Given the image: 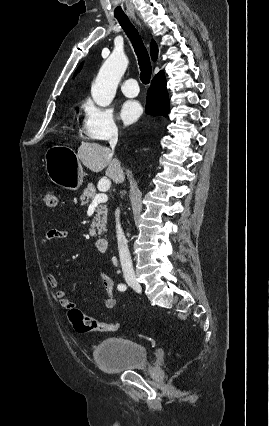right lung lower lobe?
<instances>
[{
    "mask_svg": "<svg viewBox=\"0 0 269 426\" xmlns=\"http://www.w3.org/2000/svg\"><path fill=\"white\" fill-rule=\"evenodd\" d=\"M146 113L153 116H167L169 112V98L166 89L164 73L157 74L151 81L147 92Z\"/></svg>",
    "mask_w": 269,
    "mask_h": 426,
    "instance_id": "1",
    "label": "right lung lower lobe"
}]
</instances>
